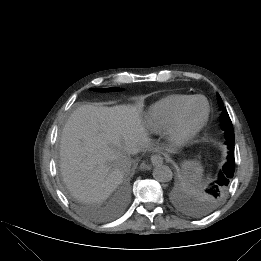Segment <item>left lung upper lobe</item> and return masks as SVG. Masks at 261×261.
<instances>
[{"label":"left lung upper lobe","instance_id":"left-lung-upper-lobe-1","mask_svg":"<svg viewBox=\"0 0 261 261\" xmlns=\"http://www.w3.org/2000/svg\"><path fill=\"white\" fill-rule=\"evenodd\" d=\"M217 99L220 110H223L220 117L221 127L225 131L226 144L228 147H231L234 145V131L232 122L227 110L223 108L224 105L219 94H217ZM230 180L231 179L229 176L224 172V169H222L219 173L218 179L211 183L205 190L203 212H210L221 203L229 188Z\"/></svg>","mask_w":261,"mask_h":261}]
</instances>
